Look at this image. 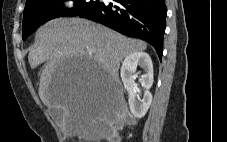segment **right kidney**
Masks as SVG:
<instances>
[{"label": "right kidney", "instance_id": "1", "mask_svg": "<svg viewBox=\"0 0 227 142\" xmlns=\"http://www.w3.org/2000/svg\"><path fill=\"white\" fill-rule=\"evenodd\" d=\"M138 66L144 71V74L140 79V82L145 89L142 99L136 92L137 84L134 81ZM120 74L124 87L129 94L128 101L131 113L136 118L144 117L152 102V94L149 89L153 84V64L150 56L146 52H135L130 54L122 62Z\"/></svg>", "mask_w": 227, "mask_h": 142}]
</instances>
